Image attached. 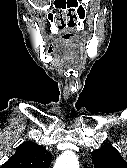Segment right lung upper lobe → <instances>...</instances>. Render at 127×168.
<instances>
[{
    "label": "right lung upper lobe",
    "mask_w": 127,
    "mask_h": 168,
    "mask_svg": "<svg viewBox=\"0 0 127 168\" xmlns=\"http://www.w3.org/2000/svg\"><path fill=\"white\" fill-rule=\"evenodd\" d=\"M51 154L43 147L28 141L1 168H49Z\"/></svg>",
    "instance_id": "cb5924a9"
}]
</instances>
